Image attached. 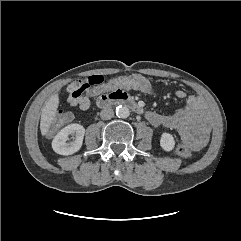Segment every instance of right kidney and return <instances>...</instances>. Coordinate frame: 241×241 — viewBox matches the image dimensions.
I'll return each instance as SVG.
<instances>
[{
    "instance_id": "ca27d5eb",
    "label": "right kidney",
    "mask_w": 241,
    "mask_h": 241,
    "mask_svg": "<svg viewBox=\"0 0 241 241\" xmlns=\"http://www.w3.org/2000/svg\"><path fill=\"white\" fill-rule=\"evenodd\" d=\"M84 134L85 129L82 125L69 124L54 137L52 148L60 155L74 154L81 148ZM70 135H75V137H73V141L68 142Z\"/></svg>"
}]
</instances>
